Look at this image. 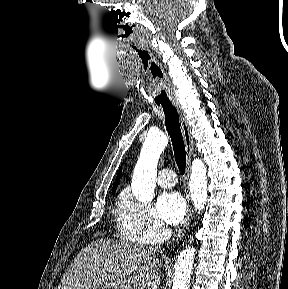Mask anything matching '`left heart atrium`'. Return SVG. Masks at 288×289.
<instances>
[{
	"label": "left heart atrium",
	"mask_w": 288,
	"mask_h": 289,
	"mask_svg": "<svg viewBox=\"0 0 288 289\" xmlns=\"http://www.w3.org/2000/svg\"><path fill=\"white\" fill-rule=\"evenodd\" d=\"M157 213L168 224L179 223L186 212V203L178 192L168 191L161 194L157 200Z\"/></svg>",
	"instance_id": "left-heart-atrium-1"
}]
</instances>
